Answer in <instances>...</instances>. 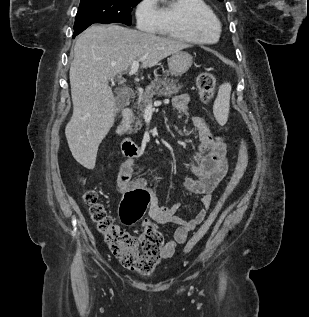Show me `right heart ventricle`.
<instances>
[{
	"label": "right heart ventricle",
	"instance_id": "1",
	"mask_svg": "<svg viewBox=\"0 0 309 317\" xmlns=\"http://www.w3.org/2000/svg\"><path fill=\"white\" fill-rule=\"evenodd\" d=\"M156 33L195 44H211L220 35V21L204 0H161Z\"/></svg>",
	"mask_w": 309,
	"mask_h": 317
}]
</instances>
